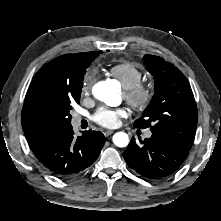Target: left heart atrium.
Instances as JSON below:
<instances>
[{
  "instance_id": "1",
  "label": "left heart atrium",
  "mask_w": 221,
  "mask_h": 221,
  "mask_svg": "<svg viewBox=\"0 0 221 221\" xmlns=\"http://www.w3.org/2000/svg\"><path fill=\"white\" fill-rule=\"evenodd\" d=\"M126 115L125 108L101 107L95 113L94 120L104 127L113 128L118 126L120 118Z\"/></svg>"
}]
</instances>
